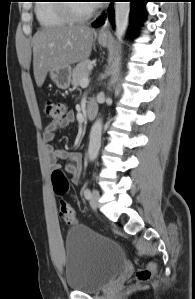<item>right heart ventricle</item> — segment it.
Segmentation results:
<instances>
[{
	"label": "right heart ventricle",
	"mask_w": 195,
	"mask_h": 299,
	"mask_svg": "<svg viewBox=\"0 0 195 299\" xmlns=\"http://www.w3.org/2000/svg\"><path fill=\"white\" fill-rule=\"evenodd\" d=\"M59 0H41L36 4L35 14L41 26L46 28L61 27L71 23L62 10Z\"/></svg>",
	"instance_id": "obj_1"
}]
</instances>
